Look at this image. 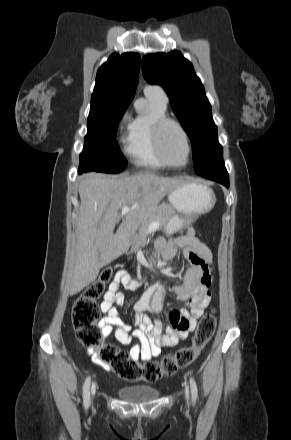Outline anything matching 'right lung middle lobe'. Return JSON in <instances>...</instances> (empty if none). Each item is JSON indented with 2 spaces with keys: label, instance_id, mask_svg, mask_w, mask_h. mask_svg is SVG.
I'll return each instance as SVG.
<instances>
[{
  "label": "right lung middle lobe",
  "instance_id": "dd1d6c3e",
  "mask_svg": "<svg viewBox=\"0 0 291 440\" xmlns=\"http://www.w3.org/2000/svg\"><path fill=\"white\" fill-rule=\"evenodd\" d=\"M127 107L119 104L91 106L85 144L80 154L79 173H119L126 168V159L119 151L116 133Z\"/></svg>",
  "mask_w": 291,
  "mask_h": 440
}]
</instances>
